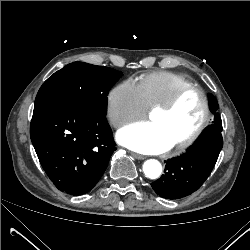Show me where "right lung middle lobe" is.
<instances>
[{
  "mask_svg": "<svg viewBox=\"0 0 250 250\" xmlns=\"http://www.w3.org/2000/svg\"><path fill=\"white\" fill-rule=\"evenodd\" d=\"M122 75L112 68L73 62L43 83L35 104L64 101L106 115L108 92Z\"/></svg>",
  "mask_w": 250,
  "mask_h": 250,
  "instance_id": "right-lung-middle-lobe-1",
  "label": "right lung middle lobe"
}]
</instances>
